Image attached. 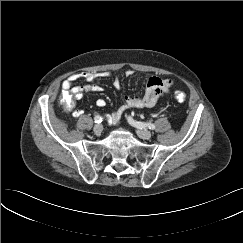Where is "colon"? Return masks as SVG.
Masks as SVG:
<instances>
[{
	"label": "colon",
	"mask_w": 243,
	"mask_h": 243,
	"mask_svg": "<svg viewBox=\"0 0 243 243\" xmlns=\"http://www.w3.org/2000/svg\"><path fill=\"white\" fill-rule=\"evenodd\" d=\"M175 99L179 102H183L186 99V94L182 91H176ZM62 104L67 111H70L74 107L75 100L70 93H63Z\"/></svg>",
	"instance_id": "colon-1"
}]
</instances>
